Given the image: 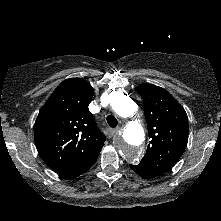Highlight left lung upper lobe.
I'll return each instance as SVG.
<instances>
[{"instance_id":"5c2ea615","label":"left lung upper lobe","mask_w":221,"mask_h":221,"mask_svg":"<svg viewBox=\"0 0 221 221\" xmlns=\"http://www.w3.org/2000/svg\"><path fill=\"white\" fill-rule=\"evenodd\" d=\"M136 91L143 99L148 136L151 139L140 163L160 175L177 163L186 148L188 117L167 90L152 84H142L136 87Z\"/></svg>"}]
</instances>
